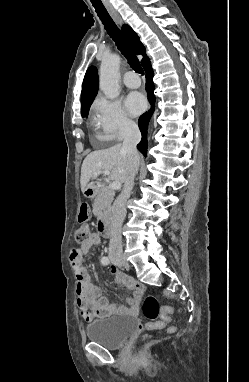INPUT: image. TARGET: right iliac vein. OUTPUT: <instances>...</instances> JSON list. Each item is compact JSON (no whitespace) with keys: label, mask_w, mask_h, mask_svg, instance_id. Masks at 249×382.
Masks as SVG:
<instances>
[{"label":"right iliac vein","mask_w":249,"mask_h":382,"mask_svg":"<svg viewBox=\"0 0 249 382\" xmlns=\"http://www.w3.org/2000/svg\"><path fill=\"white\" fill-rule=\"evenodd\" d=\"M111 260L114 264L123 265L125 267H129L124 256H111Z\"/></svg>","instance_id":"1"}]
</instances>
